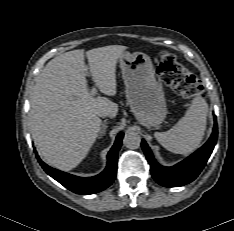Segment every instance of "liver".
Segmentation results:
<instances>
[{
  "mask_svg": "<svg viewBox=\"0 0 234 231\" xmlns=\"http://www.w3.org/2000/svg\"><path fill=\"white\" fill-rule=\"evenodd\" d=\"M126 49L110 45L73 50L53 58L42 70L31 97L29 123L37 150L49 165L64 171L75 168L98 137V113L115 117L118 112L116 103L88 92L85 55L95 85L114 96L117 61Z\"/></svg>",
  "mask_w": 234,
  "mask_h": 231,
  "instance_id": "obj_1",
  "label": "liver"
}]
</instances>
